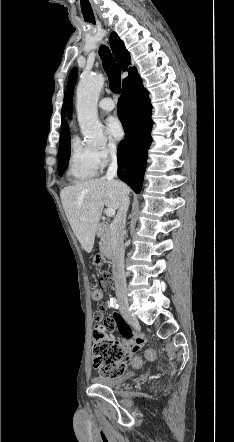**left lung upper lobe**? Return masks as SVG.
Here are the masks:
<instances>
[{
    "label": "left lung upper lobe",
    "mask_w": 234,
    "mask_h": 442,
    "mask_svg": "<svg viewBox=\"0 0 234 442\" xmlns=\"http://www.w3.org/2000/svg\"><path fill=\"white\" fill-rule=\"evenodd\" d=\"M76 79H77V69L73 68L70 72L68 85H67L66 106H67L69 118H71V113H72L73 89H74Z\"/></svg>",
    "instance_id": "left-lung-upper-lobe-1"
}]
</instances>
